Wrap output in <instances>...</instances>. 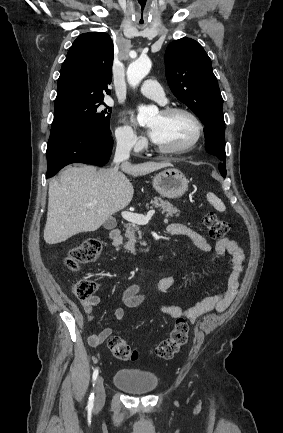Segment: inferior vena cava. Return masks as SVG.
Listing matches in <instances>:
<instances>
[{
  "label": "inferior vena cava",
  "mask_w": 283,
  "mask_h": 433,
  "mask_svg": "<svg viewBox=\"0 0 283 433\" xmlns=\"http://www.w3.org/2000/svg\"><path fill=\"white\" fill-rule=\"evenodd\" d=\"M132 148L131 142L129 140H119L116 146V152L114 156V162H121V160H127L129 158L130 150Z\"/></svg>",
  "instance_id": "602c4592"
}]
</instances>
